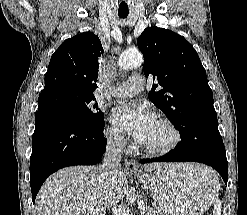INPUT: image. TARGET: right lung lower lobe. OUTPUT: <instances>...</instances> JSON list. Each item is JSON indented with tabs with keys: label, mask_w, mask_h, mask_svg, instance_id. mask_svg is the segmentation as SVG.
<instances>
[{
	"label": "right lung lower lobe",
	"mask_w": 247,
	"mask_h": 215,
	"mask_svg": "<svg viewBox=\"0 0 247 215\" xmlns=\"http://www.w3.org/2000/svg\"><path fill=\"white\" fill-rule=\"evenodd\" d=\"M105 149L103 124L92 126L57 112L38 110L30 158L32 201L50 174L67 166L97 164Z\"/></svg>",
	"instance_id": "obj_1"
}]
</instances>
